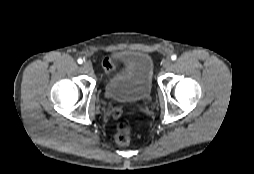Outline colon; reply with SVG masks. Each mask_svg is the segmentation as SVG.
Segmentation results:
<instances>
[{"mask_svg":"<svg viewBox=\"0 0 254 174\" xmlns=\"http://www.w3.org/2000/svg\"><path fill=\"white\" fill-rule=\"evenodd\" d=\"M133 126H134V120L128 119L120 121L116 125L114 139L115 142L119 145H127L129 144L131 140V136L133 134Z\"/></svg>","mask_w":254,"mask_h":174,"instance_id":"obj_1","label":"colon"}]
</instances>
